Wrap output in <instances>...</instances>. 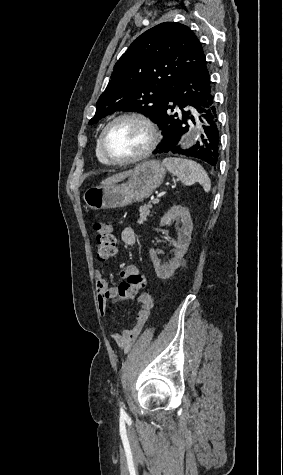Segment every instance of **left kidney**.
<instances>
[{
	"instance_id": "1",
	"label": "left kidney",
	"mask_w": 283,
	"mask_h": 475,
	"mask_svg": "<svg viewBox=\"0 0 283 475\" xmlns=\"http://www.w3.org/2000/svg\"><path fill=\"white\" fill-rule=\"evenodd\" d=\"M172 220H176V222H181L182 224L181 234H179L177 241H172L174 247H176L175 257H172L169 263H163L162 265V263H160L161 259H159L157 255V251H155L153 247L150 249V255L154 263L155 271L161 279H168V277H171L175 269L181 265L182 257L184 253H186L191 241L193 224L188 208H183V206H172L167 214H164L163 218H161L160 226L171 224Z\"/></svg>"
}]
</instances>
